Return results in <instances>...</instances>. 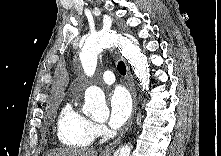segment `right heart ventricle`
I'll use <instances>...</instances> for the list:
<instances>
[{"label": "right heart ventricle", "mask_w": 221, "mask_h": 156, "mask_svg": "<svg viewBox=\"0 0 221 156\" xmlns=\"http://www.w3.org/2000/svg\"><path fill=\"white\" fill-rule=\"evenodd\" d=\"M91 125L92 122L69 102L63 106L58 116L57 135L59 141L67 147L85 148L94 139Z\"/></svg>", "instance_id": "right-heart-ventricle-1"}]
</instances>
